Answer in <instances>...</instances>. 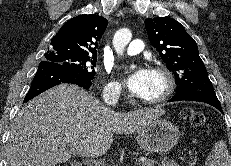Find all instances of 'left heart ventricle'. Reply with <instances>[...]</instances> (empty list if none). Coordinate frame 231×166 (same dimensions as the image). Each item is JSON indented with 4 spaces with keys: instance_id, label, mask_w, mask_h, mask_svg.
Returning <instances> with one entry per match:
<instances>
[{
    "instance_id": "1",
    "label": "left heart ventricle",
    "mask_w": 231,
    "mask_h": 166,
    "mask_svg": "<svg viewBox=\"0 0 231 166\" xmlns=\"http://www.w3.org/2000/svg\"><path fill=\"white\" fill-rule=\"evenodd\" d=\"M163 87L164 82L161 76L152 72L149 87L142 98L151 99L158 96L161 93Z\"/></svg>"
}]
</instances>
